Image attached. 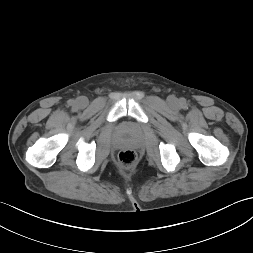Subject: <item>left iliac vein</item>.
I'll list each match as a JSON object with an SVG mask.
<instances>
[{
  "label": "left iliac vein",
  "instance_id": "obj_1",
  "mask_svg": "<svg viewBox=\"0 0 253 253\" xmlns=\"http://www.w3.org/2000/svg\"><path fill=\"white\" fill-rule=\"evenodd\" d=\"M169 101H170L171 104H175L176 103V100L174 98H171Z\"/></svg>",
  "mask_w": 253,
  "mask_h": 253
}]
</instances>
